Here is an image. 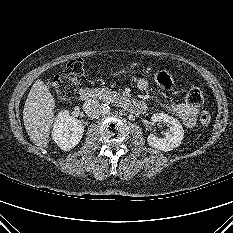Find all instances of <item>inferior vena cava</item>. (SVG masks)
Wrapping results in <instances>:
<instances>
[{
  "mask_svg": "<svg viewBox=\"0 0 233 233\" xmlns=\"http://www.w3.org/2000/svg\"><path fill=\"white\" fill-rule=\"evenodd\" d=\"M103 105L98 100H89L83 104L85 113L91 118H97L102 114Z\"/></svg>",
  "mask_w": 233,
  "mask_h": 233,
  "instance_id": "602c4592",
  "label": "inferior vena cava"
}]
</instances>
